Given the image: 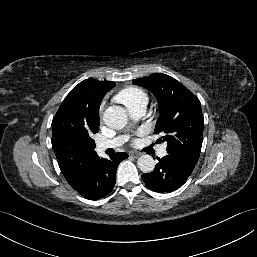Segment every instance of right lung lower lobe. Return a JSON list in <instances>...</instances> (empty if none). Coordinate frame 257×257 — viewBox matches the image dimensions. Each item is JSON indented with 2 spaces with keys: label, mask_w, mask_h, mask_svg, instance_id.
I'll return each mask as SVG.
<instances>
[{
  "label": "right lung lower lobe",
  "mask_w": 257,
  "mask_h": 257,
  "mask_svg": "<svg viewBox=\"0 0 257 257\" xmlns=\"http://www.w3.org/2000/svg\"><path fill=\"white\" fill-rule=\"evenodd\" d=\"M127 157L128 154L123 152L111 155L110 159L97 156L84 177L73 188L89 200H98L105 197L113 190L119 163Z\"/></svg>",
  "instance_id": "right-lung-lower-lobe-1"
}]
</instances>
